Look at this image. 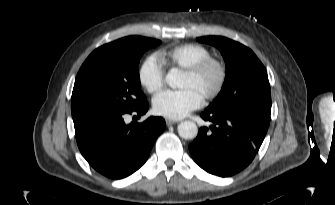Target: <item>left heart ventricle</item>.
<instances>
[{"instance_id":"b2bd125f","label":"left heart ventricle","mask_w":335,"mask_h":205,"mask_svg":"<svg viewBox=\"0 0 335 205\" xmlns=\"http://www.w3.org/2000/svg\"><path fill=\"white\" fill-rule=\"evenodd\" d=\"M217 78L218 72L216 68H210L207 72L198 78L184 73L181 81V87H192L196 89L201 95H204V93L211 90L215 86Z\"/></svg>"}]
</instances>
